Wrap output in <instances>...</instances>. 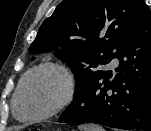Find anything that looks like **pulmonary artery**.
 <instances>
[{
  "label": "pulmonary artery",
  "instance_id": "1",
  "mask_svg": "<svg viewBox=\"0 0 151 131\" xmlns=\"http://www.w3.org/2000/svg\"><path fill=\"white\" fill-rule=\"evenodd\" d=\"M118 67V61L117 60H113L110 64H109V68L112 70H115Z\"/></svg>",
  "mask_w": 151,
  "mask_h": 131
}]
</instances>
